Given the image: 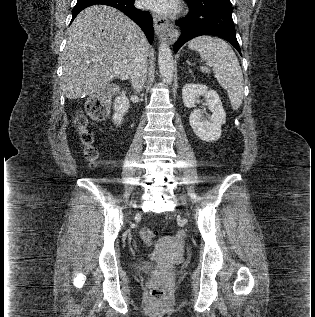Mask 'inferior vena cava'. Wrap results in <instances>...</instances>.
<instances>
[{
	"label": "inferior vena cava",
	"mask_w": 315,
	"mask_h": 317,
	"mask_svg": "<svg viewBox=\"0 0 315 317\" xmlns=\"http://www.w3.org/2000/svg\"><path fill=\"white\" fill-rule=\"evenodd\" d=\"M148 42L144 39L137 48L136 56L132 62L130 79L136 92H140L147 77Z\"/></svg>",
	"instance_id": "inferior-vena-cava-1"
}]
</instances>
